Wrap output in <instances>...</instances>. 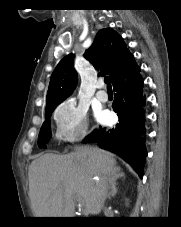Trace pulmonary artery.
<instances>
[{"label":"pulmonary artery","instance_id":"e3ab8cb5","mask_svg":"<svg viewBox=\"0 0 181 227\" xmlns=\"http://www.w3.org/2000/svg\"><path fill=\"white\" fill-rule=\"evenodd\" d=\"M103 86L104 83L103 81H99L97 87L99 88V90L96 93V97L98 100H100L101 102H106L108 101V94L106 91L103 90Z\"/></svg>","mask_w":181,"mask_h":227}]
</instances>
